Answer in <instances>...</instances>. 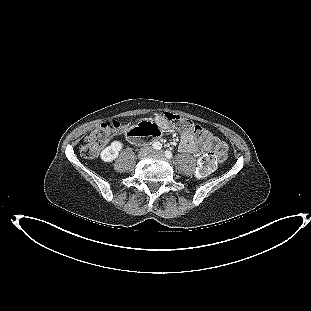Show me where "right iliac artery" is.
I'll return each instance as SVG.
<instances>
[{
    "instance_id": "right-iliac-artery-1",
    "label": "right iliac artery",
    "mask_w": 311,
    "mask_h": 311,
    "mask_svg": "<svg viewBox=\"0 0 311 311\" xmlns=\"http://www.w3.org/2000/svg\"><path fill=\"white\" fill-rule=\"evenodd\" d=\"M152 146L156 150H159L162 148V144L160 142H154Z\"/></svg>"
}]
</instances>
